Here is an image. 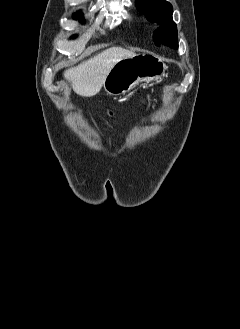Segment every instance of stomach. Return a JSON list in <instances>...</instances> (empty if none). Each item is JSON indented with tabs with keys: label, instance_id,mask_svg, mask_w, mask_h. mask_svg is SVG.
Returning a JSON list of instances; mask_svg holds the SVG:
<instances>
[{
	"label": "stomach",
	"instance_id": "stomach-1",
	"mask_svg": "<svg viewBox=\"0 0 240 329\" xmlns=\"http://www.w3.org/2000/svg\"><path fill=\"white\" fill-rule=\"evenodd\" d=\"M167 69L164 61L153 53H142L117 62L107 74L103 88L107 94L124 95L140 82L160 79Z\"/></svg>",
	"mask_w": 240,
	"mask_h": 329
}]
</instances>
